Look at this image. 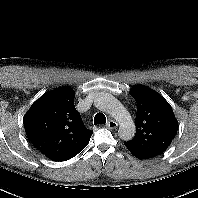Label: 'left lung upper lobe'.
<instances>
[{
  "mask_svg": "<svg viewBox=\"0 0 198 198\" xmlns=\"http://www.w3.org/2000/svg\"><path fill=\"white\" fill-rule=\"evenodd\" d=\"M130 95L137 102L136 134L124 144L128 150L158 156L170 146L178 130L172 108L161 95L143 85L134 86Z\"/></svg>",
  "mask_w": 198,
  "mask_h": 198,
  "instance_id": "1",
  "label": "left lung upper lobe"
}]
</instances>
